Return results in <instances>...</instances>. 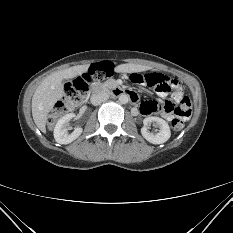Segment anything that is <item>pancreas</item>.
Instances as JSON below:
<instances>
[{"label":"pancreas","mask_w":233,"mask_h":233,"mask_svg":"<svg viewBox=\"0 0 233 233\" xmlns=\"http://www.w3.org/2000/svg\"><path fill=\"white\" fill-rule=\"evenodd\" d=\"M102 87L105 90L113 89L116 87V81L114 79H109L102 84Z\"/></svg>","instance_id":"cf45deb5"}]
</instances>
